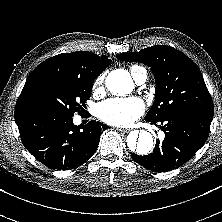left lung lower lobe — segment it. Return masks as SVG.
I'll use <instances>...</instances> for the list:
<instances>
[{"mask_svg":"<svg viewBox=\"0 0 222 222\" xmlns=\"http://www.w3.org/2000/svg\"><path fill=\"white\" fill-rule=\"evenodd\" d=\"M214 112L185 110L174 113L160 121L165 132L163 142L157 140L152 153L146 156L131 154L132 159L144 168L155 172L176 169L190 160L204 145L210 131Z\"/></svg>","mask_w":222,"mask_h":222,"instance_id":"1","label":"left lung lower lobe"}]
</instances>
